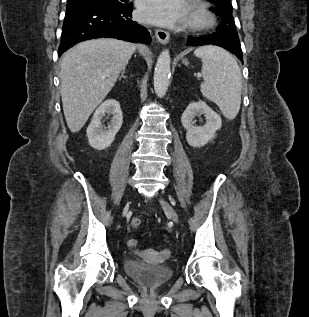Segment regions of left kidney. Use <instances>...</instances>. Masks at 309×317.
Masks as SVG:
<instances>
[{
	"instance_id": "obj_1",
	"label": "left kidney",
	"mask_w": 309,
	"mask_h": 317,
	"mask_svg": "<svg viewBox=\"0 0 309 317\" xmlns=\"http://www.w3.org/2000/svg\"><path fill=\"white\" fill-rule=\"evenodd\" d=\"M205 115L206 124L195 126L193 120L196 115ZM183 127L187 130L186 140L192 147H202L214 138L217 130L221 129V117L204 101L192 102L181 117Z\"/></svg>"
}]
</instances>
